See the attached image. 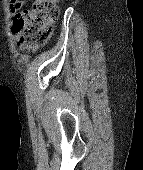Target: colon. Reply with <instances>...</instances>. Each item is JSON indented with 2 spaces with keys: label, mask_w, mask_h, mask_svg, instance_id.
<instances>
[{
  "label": "colon",
  "mask_w": 143,
  "mask_h": 170,
  "mask_svg": "<svg viewBox=\"0 0 143 170\" xmlns=\"http://www.w3.org/2000/svg\"><path fill=\"white\" fill-rule=\"evenodd\" d=\"M58 17V0H34L31 9L15 18L13 29L22 34V44L30 50L44 44Z\"/></svg>",
  "instance_id": "1"
}]
</instances>
